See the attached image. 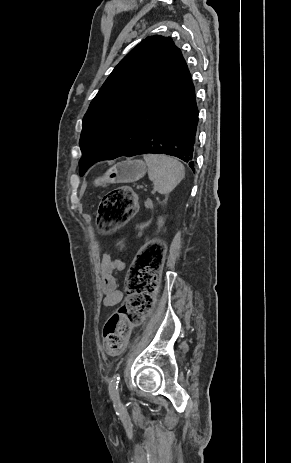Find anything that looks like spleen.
I'll return each instance as SVG.
<instances>
[{"label": "spleen", "mask_w": 291, "mask_h": 463, "mask_svg": "<svg viewBox=\"0 0 291 463\" xmlns=\"http://www.w3.org/2000/svg\"><path fill=\"white\" fill-rule=\"evenodd\" d=\"M148 177L159 193L167 195L183 180L184 166L176 159L165 155H144Z\"/></svg>", "instance_id": "3e777b00"}]
</instances>
